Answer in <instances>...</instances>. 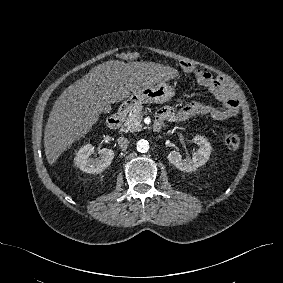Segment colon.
Instances as JSON below:
<instances>
[{
  "instance_id": "1",
  "label": "colon",
  "mask_w": 283,
  "mask_h": 283,
  "mask_svg": "<svg viewBox=\"0 0 283 283\" xmlns=\"http://www.w3.org/2000/svg\"><path fill=\"white\" fill-rule=\"evenodd\" d=\"M190 67V65L184 64L183 65V69H188ZM223 141L226 145V147L230 150H236L239 148L240 146V139L239 137L230 132V131H225L223 134Z\"/></svg>"
}]
</instances>
